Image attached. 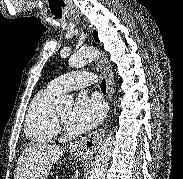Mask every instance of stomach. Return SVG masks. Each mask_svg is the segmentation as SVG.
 <instances>
[{
	"instance_id": "1",
	"label": "stomach",
	"mask_w": 183,
	"mask_h": 179,
	"mask_svg": "<svg viewBox=\"0 0 183 179\" xmlns=\"http://www.w3.org/2000/svg\"><path fill=\"white\" fill-rule=\"evenodd\" d=\"M78 160H83L85 158H87V155L84 151L82 150H76V149H72L70 151ZM39 179H47L45 176L39 178Z\"/></svg>"
}]
</instances>
